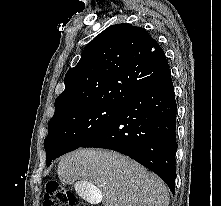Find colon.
Wrapping results in <instances>:
<instances>
[{
    "label": "colon",
    "instance_id": "1",
    "mask_svg": "<svg viewBox=\"0 0 221 206\" xmlns=\"http://www.w3.org/2000/svg\"><path fill=\"white\" fill-rule=\"evenodd\" d=\"M43 206H79L74 193L61 186L57 181H49L46 185Z\"/></svg>",
    "mask_w": 221,
    "mask_h": 206
}]
</instances>
